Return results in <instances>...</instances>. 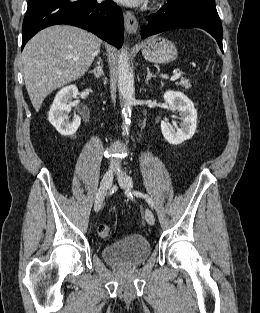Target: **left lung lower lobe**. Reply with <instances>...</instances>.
<instances>
[{
  "instance_id": "left-lung-lower-lobe-1",
  "label": "left lung lower lobe",
  "mask_w": 260,
  "mask_h": 313,
  "mask_svg": "<svg viewBox=\"0 0 260 313\" xmlns=\"http://www.w3.org/2000/svg\"><path fill=\"white\" fill-rule=\"evenodd\" d=\"M195 27L211 34L223 51V30L216 7L202 3L168 0L163 8L149 16L146 26L141 30V36L145 38L166 30Z\"/></svg>"
}]
</instances>
